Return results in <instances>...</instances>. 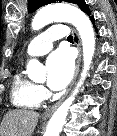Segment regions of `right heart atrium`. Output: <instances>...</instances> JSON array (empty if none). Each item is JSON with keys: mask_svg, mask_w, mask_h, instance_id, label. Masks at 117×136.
Listing matches in <instances>:
<instances>
[{"mask_svg": "<svg viewBox=\"0 0 117 136\" xmlns=\"http://www.w3.org/2000/svg\"><path fill=\"white\" fill-rule=\"evenodd\" d=\"M39 90L43 97L46 96V90L43 87H39Z\"/></svg>", "mask_w": 117, "mask_h": 136, "instance_id": "1", "label": "right heart atrium"}]
</instances>
